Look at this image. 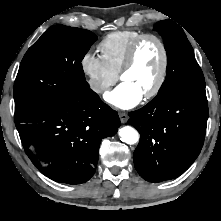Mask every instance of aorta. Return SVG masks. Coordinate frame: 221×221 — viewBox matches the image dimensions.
Returning a JSON list of instances; mask_svg holds the SVG:
<instances>
[{
  "label": "aorta",
  "instance_id": "762f6f07",
  "mask_svg": "<svg viewBox=\"0 0 221 221\" xmlns=\"http://www.w3.org/2000/svg\"><path fill=\"white\" fill-rule=\"evenodd\" d=\"M119 136L121 141L127 144H135L139 140L138 132L131 126H123L119 129Z\"/></svg>",
  "mask_w": 221,
  "mask_h": 221
}]
</instances>
